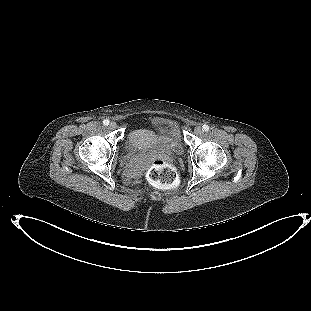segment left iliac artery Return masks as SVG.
<instances>
[{"label": "left iliac artery", "instance_id": "obj_1", "mask_svg": "<svg viewBox=\"0 0 311 311\" xmlns=\"http://www.w3.org/2000/svg\"><path fill=\"white\" fill-rule=\"evenodd\" d=\"M209 126L208 125H206V124H204L203 126H202V130L203 131H205V132H207V131H209Z\"/></svg>", "mask_w": 311, "mask_h": 311}]
</instances>
